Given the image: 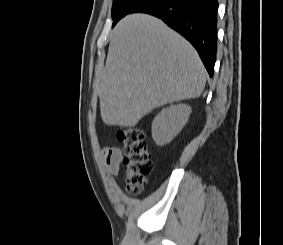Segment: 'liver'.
I'll list each match as a JSON object with an SVG mask.
<instances>
[{
	"instance_id": "6515ba94",
	"label": "liver",
	"mask_w": 283,
	"mask_h": 245,
	"mask_svg": "<svg viewBox=\"0 0 283 245\" xmlns=\"http://www.w3.org/2000/svg\"><path fill=\"white\" fill-rule=\"evenodd\" d=\"M206 70L193 46L160 19L132 14L114 28L98 89L109 126H135L153 109L198 98Z\"/></svg>"
}]
</instances>
